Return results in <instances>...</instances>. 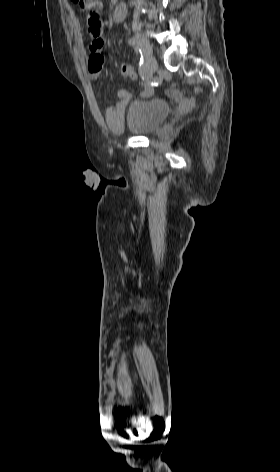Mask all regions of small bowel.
Listing matches in <instances>:
<instances>
[{"mask_svg": "<svg viewBox=\"0 0 280 472\" xmlns=\"http://www.w3.org/2000/svg\"><path fill=\"white\" fill-rule=\"evenodd\" d=\"M88 33L91 39L89 45L90 55L88 58V71L92 78H97L102 74L104 66V40L101 21L93 23L88 20ZM151 92V88L144 84L142 95H149ZM116 98L117 100L106 110V118L110 128H117L120 125L125 107L131 100V95L126 89H121L118 91Z\"/></svg>", "mask_w": 280, "mask_h": 472, "instance_id": "obj_1", "label": "small bowel"}]
</instances>
